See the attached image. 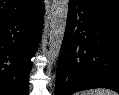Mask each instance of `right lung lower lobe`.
<instances>
[{
    "mask_svg": "<svg viewBox=\"0 0 119 95\" xmlns=\"http://www.w3.org/2000/svg\"><path fill=\"white\" fill-rule=\"evenodd\" d=\"M44 2L0 23V95H28L31 58L41 38Z\"/></svg>",
    "mask_w": 119,
    "mask_h": 95,
    "instance_id": "obj_1",
    "label": "right lung lower lobe"
}]
</instances>
